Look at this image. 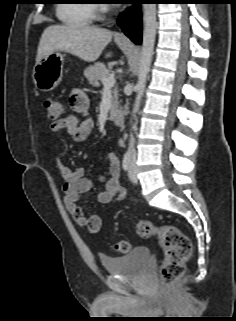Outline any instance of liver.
Wrapping results in <instances>:
<instances>
[{
    "label": "liver",
    "instance_id": "1",
    "mask_svg": "<svg viewBox=\"0 0 236 321\" xmlns=\"http://www.w3.org/2000/svg\"><path fill=\"white\" fill-rule=\"evenodd\" d=\"M112 39V32L86 25H56L46 28L41 36L36 63L55 51H64L93 62ZM111 57V53L106 58Z\"/></svg>",
    "mask_w": 236,
    "mask_h": 321
}]
</instances>
